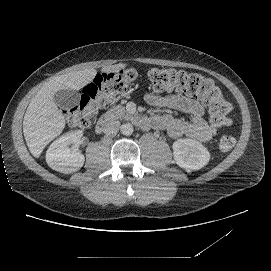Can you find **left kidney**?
I'll list each match as a JSON object with an SVG mask.
<instances>
[{"label": "left kidney", "instance_id": "1", "mask_svg": "<svg viewBox=\"0 0 271 271\" xmlns=\"http://www.w3.org/2000/svg\"><path fill=\"white\" fill-rule=\"evenodd\" d=\"M177 164L185 171L200 169L209 160V152L199 142L191 139H179L173 144Z\"/></svg>", "mask_w": 271, "mask_h": 271}]
</instances>
